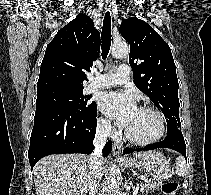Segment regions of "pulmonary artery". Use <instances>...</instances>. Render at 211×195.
Here are the masks:
<instances>
[{"label": "pulmonary artery", "mask_w": 211, "mask_h": 195, "mask_svg": "<svg viewBox=\"0 0 211 195\" xmlns=\"http://www.w3.org/2000/svg\"><path fill=\"white\" fill-rule=\"evenodd\" d=\"M130 68L128 65H120L115 72L98 74L91 79L88 86L89 90L108 88L116 85H122L129 81Z\"/></svg>", "instance_id": "e3ab8cb5"}]
</instances>
